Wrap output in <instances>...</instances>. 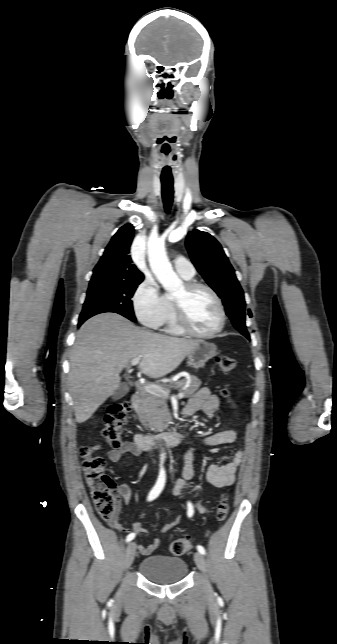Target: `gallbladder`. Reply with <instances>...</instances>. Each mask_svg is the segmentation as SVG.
Masks as SVG:
<instances>
[{"label":"gallbladder","mask_w":337,"mask_h":644,"mask_svg":"<svg viewBox=\"0 0 337 644\" xmlns=\"http://www.w3.org/2000/svg\"><path fill=\"white\" fill-rule=\"evenodd\" d=\"M129 392V386L126 383L120 384L118 389L112 394L113 400H118L124 397Z\"/></svg>","instance_id":"obj_1"}]
</instances>
